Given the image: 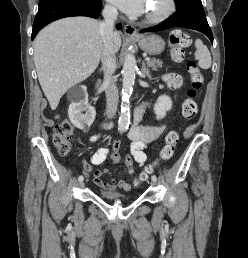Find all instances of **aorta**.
<instances>
[{
    "label": "aorta",
    "instance_id": "obj_1",
    "mask_svg": "<svg viewBox=\"0 0 248 258\" xmlns=\"http://www.w3.org/2000/svg\"><path fill=\"white\" fill-rule=\"evenodd\" d=\"M136 69V59L133 54L128 53L125 56L122 69L123 96L121 103V113L118 121V130L120 132H124L128 128L130 123L129 98L133 91Z\"/></svg>",
    "mask_w": 248,
    "mask_h": 258
}]
</instances>
